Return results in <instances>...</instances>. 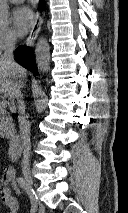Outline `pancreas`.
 Returning a JSON list of instances; mask_svg holds the SVG:
<instances>
[{"label": "pancreas", "instance_id": "obj_1", "mask_svg": "<svg viewBox=\"0 0 128 213\" xmlns=\"http://www.w3.org/2000/svg\"><path fill=\"white\" fill-rule=\"evenodd\" d=\"M13 130L12 117L6 115L5 109H0V136L7 138Z\"/></svg>", "mask_w": 128, "mask_h": 213}]
</instances>
